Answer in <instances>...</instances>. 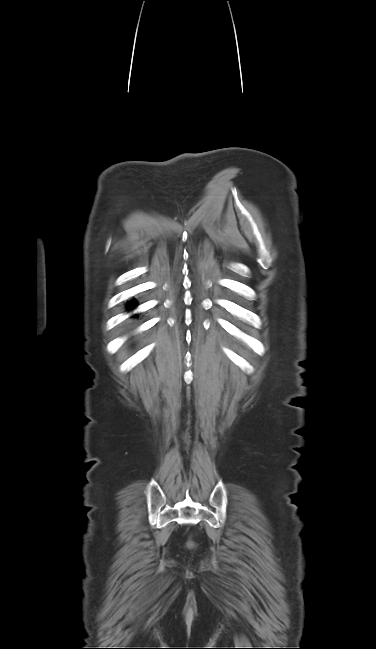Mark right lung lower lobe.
I'll return each mask as SVG.
<instances>
[{
	"label": "right lung lower lobe",
	"mask_w": 376,
	"mask_h": 649,
	"mask_svg": "<svg viewBox=\"0 0 376 649\" xmlns=\"http://www.w3.org/2000/svg\"><path fill=\"white\" fill-rule=\"evenodd\" d=\"M131 303V302H130ZM134 306H128V310L133 309Z\"/></svg>",
	"instance_id": "1"
}]
</instances>
